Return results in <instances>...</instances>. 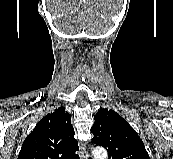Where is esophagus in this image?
Segmentation results:
<instances>
[{
  "label": "esophagus",
  "instance_id": "1",
  "mask_svg": "<svg viewBox=\"0 0 173 159\" xmlns=\"http://www.w3.org/2000/svg\"><path fill=\"white\" fill-rule=\"evenodd\" d=\"M85 159H92V156L89 153H86Z\"/></svg>",
  "mask_w": 173,
  "mask_h": 159
}]
</instances>
